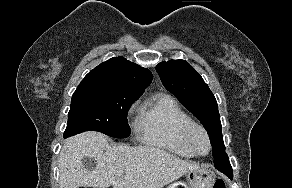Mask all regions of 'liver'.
Returning a JSON list of instances; mask_svg holds the SVG:
<instances>
[{
  "mask_svg": "<svg viewBox=\"0 0 292 188\" xmlns=\"http://www.w3.org/2000/svg\"><path fill=\"white\" fill-rule=\"evenodd\" d=\"M92 157L96 166L88 169L83 159ZM151 146L109 145L105 135L85 132L66 140L59 156V188H163L198 168ZM123 171L122 175L117 172Z\"/></svg>",
  "mask_w": 292,
  "mask_h": 188,
  "instance_id": "liver-1",
  "label": "liver"
}]
</instances>
